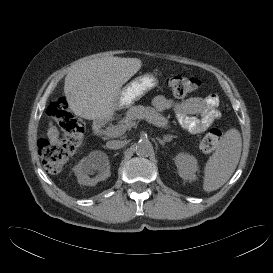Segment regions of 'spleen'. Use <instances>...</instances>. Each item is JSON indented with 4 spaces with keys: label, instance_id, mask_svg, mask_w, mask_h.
Here are the masks:
<instances>
[{
    "label": "spleen",
    "instance_id": "obj_1",
    "mask_svg": "<svg viewBox=\"0 0 273 273\" xmlns=\"http://www.w3.org/2000/svg\"><path fill=\"white\" fill-rule=\"evenodd\" d=\"M242 150L241 135L237 129L228 130L221 144L204 167L203 190L211 192L222 187L235 171Z\"/></svg>",
    "mask_w": 273,
    "mask_h": 273
}]
</instances>
